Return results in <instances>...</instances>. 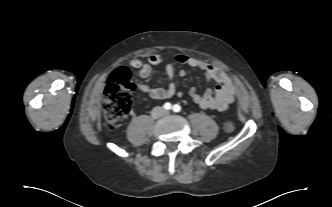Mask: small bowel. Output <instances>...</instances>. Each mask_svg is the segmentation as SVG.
I'll return each mask as SVG.
<instances>
[{
  "label": "small bowel",
  "instance_id": "1",
  "mask_svg": "<svg viewBox=\"0 0 332 207\" xmlns=\"http://www.w3.org/2000/svg\"><path fill=\"white\" fill-rule=\"evenodd\" d=\"M175 60L179 64L200 69L207 81L215 84L214 88L206 89L203 94L198 93L195 88L190 89V97L201 108L223 111L233 102L235 88L232 79L226 72L213 64L185 54H178ZM130 66L138 70L140 78L149 77L152 74L153 68L163 66L168 80L167 87L153 88L145 84H139L138 89L154 100L167 99L176 94L174 65L172 63H165L159 55L152 54L147 61L134 58L130 61ZM179 75L181 77L185 76L186 71L181 69ZM178 95L181 94L178 93Z\"/></svg>",
  "mask_w": 332,
  "mask_h": 207
}]
</instances>
